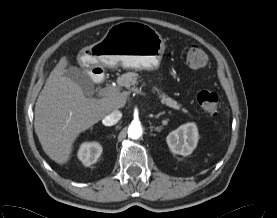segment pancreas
<instances>
[{
	"label": "pancreas",
	"mask_w": 277,
	"mask_h": 218,
	"mask_svg": "<svg viewBox=\"0 0 277 218\" xmlns=\"http://www.w3.org/2000/svg\"><path fill=\"white\" fill-rule=\"evenodd\" d=\"M138 78L139 75L134 72H127L120 77L117 78V84L119 87H125L129 90H135L134 87L138 84ZM152 92L157 94L158 99H160L162 104L167 105L168 107H171L176 110L182 109V106L180 103H178L176 100L168 97L165 93H163L160 89H158L156 86L152 87Z\"/></svg>",
	"instance_id": "obj_1"
}]
</instances>
